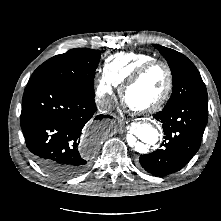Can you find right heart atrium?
I'll list each match as a JSON object with an SVG mask.
<instances>
[{
	"instance_id": "1",
	"label": "right heart atrium",
	"mask_w": 221,
	"mask_h": 221,
	"mask_svg": "<svg viewBox=\"0 0 221 221\" xmlns=\"http://www.w3.org/2000/svg\"><path fill=\"white\" fill-rule=\"evenodd\" d=\"M116 85L106 76L101 74L96 82V97L103 106H108L111 102Z\"/></svg>"
}]
</instances>
